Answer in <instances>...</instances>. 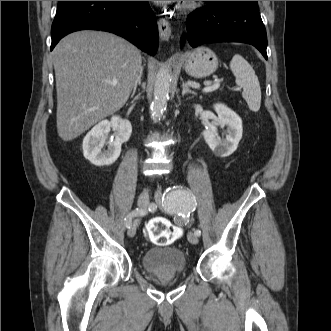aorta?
Listing matches in <instances>:
<instances>
[{"label": "aorta", "mask_w": 331, "mask_h": 331, "mask_svg": "<svg viewBox=\"0 0 331 331\" xmlns=\"http://www.w3.org/2000/svg\"><path fill=\"white\" fill-rule=\"evenodd\" d=\"M171 74L166 67L160 68L154 84V99L151 105L152 116L154 119L160 118L167 107V100L170 91Z\"/></svg>", "instance_id": "obj_1"}]
</instances>
